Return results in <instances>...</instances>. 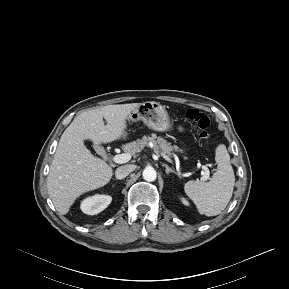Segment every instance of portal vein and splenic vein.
<instances>
[{"label": "portal vein and splenic vein", "instance_id": "1", "mask_svg": "<svg viewBox=\"0 0 289 289\" xmlns=\"http://www.w3.org/2000/svg\"><path fill=\"white\" fill-rule=\"evenodd\" d=\"M164 159H166L167 161L169 162H172V160L166 156V155H162ZM131 159V155L128 154V153H123V154H118V155H115L113 157V161L117 164H123V163H126L128 162L129 160ZM202 169H203V172H202V178L201 180L202 181H207L209 179V169L207 166H202Z\"/></svg>", "mask_w": 289, "mask_h": 289}]
</instances>
